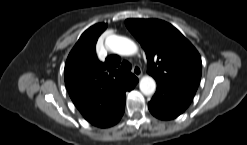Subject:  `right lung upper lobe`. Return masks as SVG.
Here are the masks:
<instances>
[{
	"instance_id": "obj_1",
	"label": "right lung upper lobe",
	"mask_w": 247,
	"mask_h": 145,
	"mask_svg": "<svg viewBox=\"0 0 247 145\" xmlns=\"http://www.w3.org/2000/svg\"><path fill=\"white\" fill-rule=\"evenodd\" d=\"M107 24L87 29L71 50L65 64V84L69 95L88 122L101 127L115 119L125 107V92L138 79L122 74L120 57L112 55L100 62L96 42Z\"/></svg>"
}]
</instances>
